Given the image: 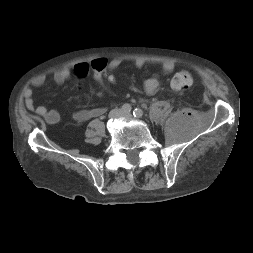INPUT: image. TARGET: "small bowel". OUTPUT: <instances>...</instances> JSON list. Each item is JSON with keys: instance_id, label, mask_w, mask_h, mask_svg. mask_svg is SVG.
Here are the masks:
<instances>
[{"instance_id": "c3829d8e", "label": "small bowel", "mask_w": 253, "mask_h": 253, "mask_svg": "<svg viewBox=\"0 0 253 253\" xmlns=\"http://www.w3.org/2000/svg\"><path fill=\"white\" fill-rule=\"evenodd\" d=\"M123 64V60L121 58H113L108 61V69L111 72L119 69ZM145 62L141 59H137L134 61V66L136 68H142ZM175 66L172 62H164L161 66V72L163 74H170L173 72ZM90 71V65L87 62H79L71 71L68 68L57 71L54 74V81L57 84H63L67 81L72 74H74L77 78L83 79L85 78ZM46 79L44 76H39L33 81V85L35 87H41L45 84ZM161 85V81L158 75H152L148 77L144 82L145 91L148 94L155 93ZM25 96V105L26 108L35 113L37 116L41 117L47 124L54 125L60 120V112L56 109H48L46 106H36L34 100V92L31 88H27L24 92ZM105 113V109L102 107H93V108H85L80 109L73 113V119L78 123H83L89 121L93 118H97L102 116Z\"/></svg>"}]
</instances>
